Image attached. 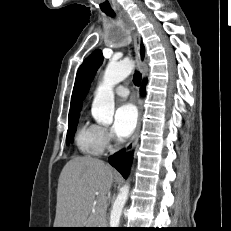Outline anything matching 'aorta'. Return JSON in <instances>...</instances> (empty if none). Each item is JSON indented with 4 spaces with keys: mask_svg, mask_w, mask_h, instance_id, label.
Listing matches in <instances>:
<instances>
[{
    "mask_svg": "<svg viewBox=\"0 0 231 231\" xmlns=\"http://www.w3.org/2000/svg\"><path fill=\"white\" fill-rule=\"evenodd\" d=\"M134 68V64L129 59L123 61H110L104 72L102 83L97 88L92 104V116L98 123L111 124L114 115V92L115 85L127 78ZM129 193V185H124L110 213V227L119 226L122 209L126 203Z\"/></svg>",
    "mask_w": 231,
    "mask_h": 231,
    "instance_id": "obj_1",
    "label": "aorta"
}]
</instances>
